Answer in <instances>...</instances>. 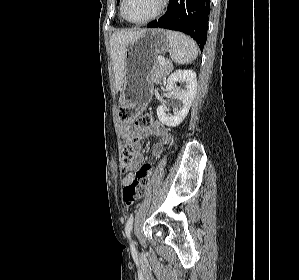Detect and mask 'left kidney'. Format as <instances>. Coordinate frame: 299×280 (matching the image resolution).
Listing matches in <instances>:
<instances>
[{
	"mask_svg": "<svg viewBox=\"0 0 299 280\" xmlns=\"http://www.w3.org/2000/svg\"><path fill=\"white\" fill-rule=\"evenodd\" d=\"M176 82H185V89L180 91L179 88H174ZM165 90H173L175 92V99L182 103V107L171 116L166 114L165 106L160 105L157 108V116L163 124L175 127L185 119L194 100L197 90L196 73L193 70H176L169 75Z\"/></svg>",
	"mask_w": 299,
	"mask_h": 280,
	"instance_id": "left-kidney-1",
	"label": "left kidney"
}]
</instances>
